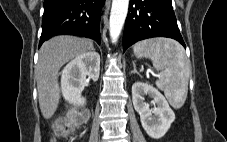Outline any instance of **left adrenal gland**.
<instances>
[{
  "mask_svg": "<svg viewBox=\"0 0 227 142\" xmlns=\"http://www.w3.org/2000/svg\"><path fill=\"white\" fill-rule=\"evenodd\" d=\"M136 68L134 67V70L131 72L132 74L136 73Z\"/></svg>",
  "mask_w": 227,
  "mask_h": 142,
  "instance_id": "left-adrenal-gland-1",
  "label": "left adrenal gland"
}]
</instances>
